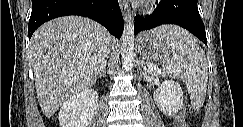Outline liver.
I'll use <instances>...</instances> for the list:
<instances>
[{
	"instance_id": "obj_1",
	"label": "liver",
	"mask_w": 243,
	"mask_h": 127,
	"mask_svg": "<svg viewBox=\"0 0 243 127\" xmlns=\"http://www.w3.org/2000/svg\"><path fill=\"white\" fill-rule=\"evenodd\" d=\"M112 41L104 27L80 16L56 18L34 32L29 52L38 102L46 117L96 82Z\"/></svg>"
}]
</instances>
